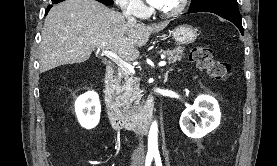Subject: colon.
Listing matches in <instances>:
<instances>
[{
  "mask_svg": "<svg viewBox=\"0 0 277 166\" xmlns=\"http://www.w3.org/2000/svg\"><path fill=\"white\" fill-rule=\"evenodd\" d=\"M189 58L198 69L205 71L212 79L224 81L231 74L230 64L216 59L213 50L207 45L192 48Z\"/></svg>",
  "mask_w": 277,
  "mask_h": 166,
  "instance_id": "colon-1",
  "label": "colon"
}]
</instances>
